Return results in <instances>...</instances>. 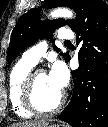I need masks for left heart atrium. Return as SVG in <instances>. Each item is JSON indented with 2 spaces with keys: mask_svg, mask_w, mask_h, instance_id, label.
Listing matches in <instances>:
<instances>
[{
  "mask_svg": "<svg viewBox=\"0 0 108 127\" xmlns=\"http://www.w3.org/2000/svg\"><path fill=\"white\" fill-rule=\"evenodd\" d=\"M48 76L53 86L59 91H63L69 81L68 70L65 65L60 62L52 67Z\"/></svg>",
  "mask_w": 108,
  "mask_h": 127,
  "instance_id": "39dd6f15",
  "label": "left heart atrium"
}]
</instances>
